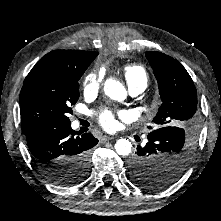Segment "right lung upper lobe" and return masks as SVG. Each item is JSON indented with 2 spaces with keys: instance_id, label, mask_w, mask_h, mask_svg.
I'll list each match as a JSON object with an SVG mask.
<instances>
[{
  "instance_id": "obj_1",
  "label": "right lung upper lobe",
  "mask_w": 221,
  "mask_h": 221,
  "mask_svg": "<svg viewBox=\"0 0 221 221\" xmlns=\"http://www.w3.org/2000/svg\"><path fill=\"white\" fill-rule=\"evenodd\" d=\"M97 55V52L90 51L55 50L42 57L25 79L46 72L74 68L94 60ZM23 133L25 134L26 132Z\"/></svg>"
}]
</instances>
